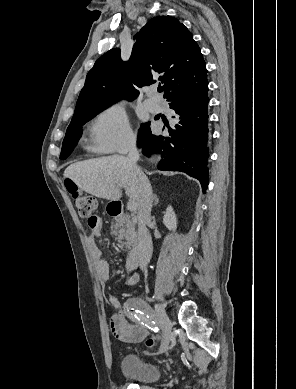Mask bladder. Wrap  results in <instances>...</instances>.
<instances>
[{
    "mask_svg": "<svg viewBox=\"0 0 296 389\" xmlns=\"http://www.w3.org/2000/svg\"><path fill=\"white\" fill-rule=\"evenodd\" d=\"M121 368L125 378L141 384L156 382L161 377V371L156 365L143 362L134 354L123 358Z\"/></svg>",
    "mask_w": 296,
    "mask_h": 389,
    "instance_id": "31cf9c89",
    "label": "bladder"
}]
</instances>
